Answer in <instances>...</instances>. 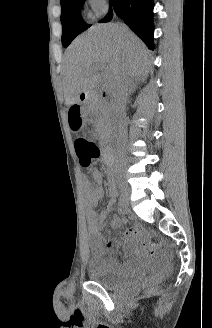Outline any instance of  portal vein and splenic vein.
I'll return each instance as SVG.
<instances>
[{"label":"portal vein and splenic vein","instance_id":"18ae733b","mask_svg":"<svg viewBox=\"0 0 212 328\" xmlns=\"http://www.w3.org/2000/svg\"><path fill=\"white\" fill-rule=\"evenodd\" d=\"M101 69H105V67H104V66H102V67H101Z\"/></svg>","mask_w":212,"mask_h":328}]
</instances>
